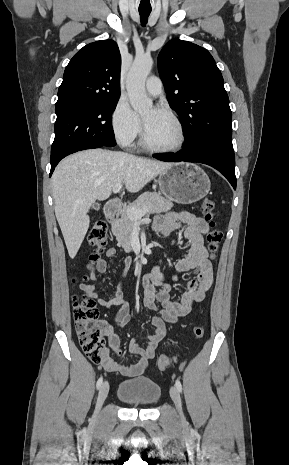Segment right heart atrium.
Segmentation results:
<instances>
[{
    "instance_id": "right-heart-atrium-1",
    "label": "right heart atrium",
    "mask_w": 289,
    "mask_h": 465,
    "mask_svg": "<svg viewBox=\"0 0 289 465\" xmlns=\"http://www.w3.org/2000/svg\"><path fill=\"white\" fill-rule=\"evenodd\" d=\"M110 124L114 138L123 147L133 145L141 134L140 118L124 99L113 107Z\"/></svg>"
}]
</instances>
